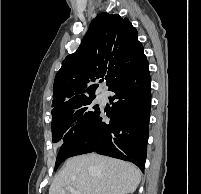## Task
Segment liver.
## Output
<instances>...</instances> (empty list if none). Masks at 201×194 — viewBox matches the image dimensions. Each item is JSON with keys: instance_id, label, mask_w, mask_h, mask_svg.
I'll return each instance as SVG.
<instances>
[{"instance_id": "1", "label": "liver", "mask_w": 201, "mask_h": 194, "mask_svg": "<svg viewBox=\"0 0 201 194\" xmlns=\"http://www.w3.org/2000/svg\"><path fill=\"white\" fill-rule=\"evenodd\" d=\"M140 179L141 172L135 165L91 153L68 159L49 194H61L67 186L81 194H129L137 189Z\"/></svg>"}]
</instances>
